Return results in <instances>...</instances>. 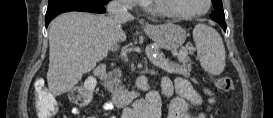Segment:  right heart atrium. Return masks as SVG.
I'll use <instances>...</instances> for the list:
<instances>
[{"mask_svg": "<svg viewBox=\"0 0 273 118\" xmlns=\"http://www.w3.org/2000/svg\"><path fill=\"white\" fill-rule=\"evenodd\" d=\"M119 3L124 9H132L137 6V0H119Z\"/></svg>", "mask_w": 273, "mask_h": 118, "instance_id": "d8ad5b80", "label": "right heart atrium"}]
</instances>
